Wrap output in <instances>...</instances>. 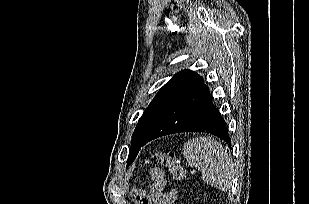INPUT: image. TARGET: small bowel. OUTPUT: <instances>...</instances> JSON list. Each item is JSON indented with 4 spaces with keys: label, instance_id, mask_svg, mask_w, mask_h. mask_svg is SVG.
I'll list each match as a JSON object with an SVG mask.
<instances>
[{
    "label": "small bowel",
    "instance_id": "c3829d8e",
    "mask_svg": "<svg viewBox=\"0 0 309 204\" xmlns=\"http://www.w3.org/2000/svg\"><path fill=\"white\" fill-rule=\"evenodd\" d=\"M152 184L150 186V193L146 194L141 190L134 192V198L137 200L139 196L148 199V204H173L177 198V191L172 189L165 191L167 179L162 169L154 167L149 171Z\"/></svg>",
    "mask_w": 309,
    "mask_h": 204
}]
</instances>
